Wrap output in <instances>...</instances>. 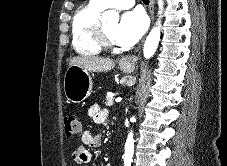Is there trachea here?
Masks as SVG:
<instances>
[{
    "instance_id": "3493384b",
    "label": "trachea",
    "mask_w": 227,
    "mask_h": 166,
    "mask_svg": "<svg viewBox=\"0 0 227 166\" xmlns=\"http://www.w3.org/2000/svg\"><path fill=\"white\" fill-rule=\"evenodd\" d=\"M143 2H144L145 4H148V3H149V0H143Z\"/></svg>"
}]
</instances>
